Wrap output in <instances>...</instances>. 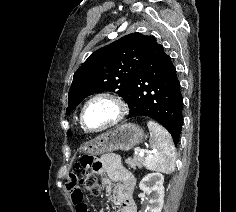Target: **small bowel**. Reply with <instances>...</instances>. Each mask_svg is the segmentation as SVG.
<instances>
[{"label":"small bowel","instance_id":"small-bowel-1","mask_svg":"<svg viewBox=\"0 0 236 212\" xmlns=\"http://www.w3.org/2000/svg\"><path fill=\"white\" fill-rule=\"evenodd\" d=\"M97 171L108 179L117 182V187L110 194L111 202L120 207L121 212H137L136 204L132 198L134 178L122 163L110 154L103 155L99 160ZM76 172L69 175L66 189L70 193L71 201L76 212H88L84 195L76 186Z\"/></svg>","mask_w":236,"mask_h":212}]
</instances>
